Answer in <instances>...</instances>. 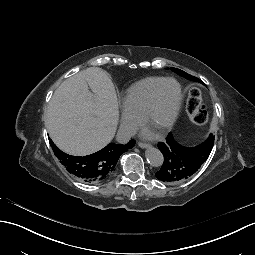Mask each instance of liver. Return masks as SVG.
Instances as JSON below:
<instances>
[{
    "instance_id": "1",
    "label": "liver",
    "mask_w": 255,
    "mask_h": 255,
    "mask_svg": "<svg viewBox=\"0 0 255 255\" xmlns=\"http://www.w3.org/2000/svg\"><path fill=\"white\" fill-rule=\"evenodd\" d=\"M118 119L113 82L103 69L90 67L69 77L55 90L45 125L60 150L85 156L112 141Z\"/></svg>"
}]
</instances>
